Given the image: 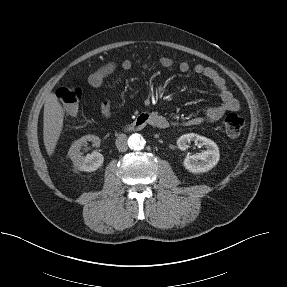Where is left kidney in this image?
Wrapping results in <instances>:
<instances>
[{
  "instance_id": "1",
  "label": "left kidney",
  "mask_w": 287,
  "mask_h": 287,
  "mask_svg": "<svg viewBox=\"0 0 287 287\" xmlns=\"http://www.w3.org/2000/svg\"><path fill=\"white\" fill-rule=\"evenodd\" d=\"M191 141H194L196 145L204 146L206 150L195 155L187 154L184 160L185 169L197 174L207 172L217 165L220 154L214 141L194 133L184 134L177 140L178 148L183 151L186 150Z\"/></svg>"
}]
</instances>
